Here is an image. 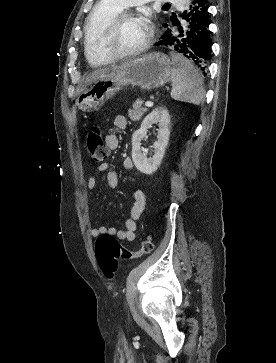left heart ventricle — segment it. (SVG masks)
Instances as JSON below:
<instances>
[{"instance_id": "obj_1", "label": "left heart ventricle", "mask_w": 276, "mask_h": 363, "mask_svg": "<svg viewBox=\"0 0 276 363\" xmlns=\"http://www.w3.org/2000/svg\"><path fill=\"white\" fill-rule=\"evenodd\" d=\"M148 28L140 17L126 19L112 39V47L117 51H128L139 46L146 38Z\"/></svg>"}]
</instances>
